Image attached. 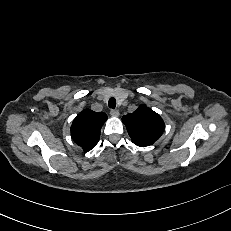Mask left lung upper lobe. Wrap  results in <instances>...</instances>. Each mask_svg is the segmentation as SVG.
<instances>
[{
    "instance_id": "left-lung-upper-lobe-1",
    "label": "left lung upper lobe",
    "mask_w": 231,
    "mask_h": 231,
    "mask_svg": "<svg viewBox=\"0 0 231 231\" xmlns=\"http://www.w3.org/2000/svg\"><path fill=\"white\" fill-rule=\"evenodd\" d=\"M123 123L132 141L141 147L153 144L164 131L162 118L152 109L141 105L132 114L123 116Z\"/></svg>"
}]
</instances>
